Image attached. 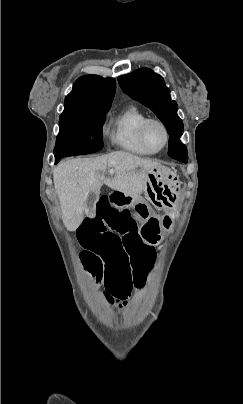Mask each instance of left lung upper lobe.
Wrapping results in <instances>:
<instances>
[{"instance_id": "obj_1", "label": "left lung upper lobe", "mask_w": 243, "mask_h": 404, "mask_svg": "<svg viewBox=\"0 0 243 404\" xmlns=\"http://www.w3.org/2000/svg\"><path fill=\"white\" fill-rule=\"evenodd\" d=\"M118 82L124 93L149 107L165 125L170 136L168 155L179 161L188 160L187 148L180 140L183 122L177 115V103L171 100L163 78L143 68L120 76Z\"/></svg>"}]
</instances>
